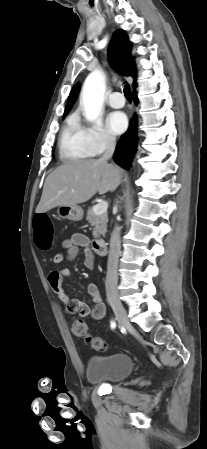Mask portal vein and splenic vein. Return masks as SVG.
I'll use <instances>...</instances> for the list:
<instances>
[{
    "label": "portal vein and splenic vein",
    "mask_w": 207,
    "mask_h": 449,
    "mask_svg": "<svg viewBox=\"0 0 207 449\" xmlns=\"http://www.w3.org/2000/svg\"><path fill=\"white\" fill-rule=\"evenodd\" d=\"M108 203L106 201H102L94 206L93 210L96 214H103L107 212Z\"/></svg>",
    "instance_id": "1"
}]
</instances>
